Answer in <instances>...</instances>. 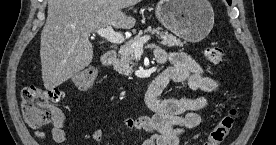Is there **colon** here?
Here are the masks:
<instances>
[{
    "instance_id": "colon-1",
    "label": "colon",
    "mask_w": 276,
    "mask_h": 145,
    "mask_svg": "<svg viewBox=\"0 0 276 145\" xmlns=\"http://www.w3.org/2000/svg\"><path fill=\"white\" fill-rule=\"evenodd\" d=\"M207 62L219 65L224 58V50L221 47H209L204 52ZM98 76L94 67H86L76 72L71 82L79 90L90 88ZM62 92L56 88H43L36 85H28L21 92V111L25 122L33 128L47 125L54 117V105L61 99ZM238 116L237 107H231L209 133L204 145H220L233 129Z\"/></svg>"
}]
</instances>
